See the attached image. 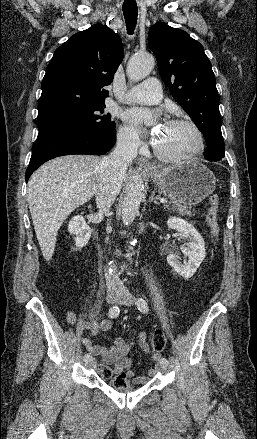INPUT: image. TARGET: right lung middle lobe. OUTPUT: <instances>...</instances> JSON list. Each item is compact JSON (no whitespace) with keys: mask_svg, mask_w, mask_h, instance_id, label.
I'll list each match as a JSON object with an SVG mask.
<instances>
[{"mask_svg":"<svg viewBox=\"0 0 257 439\" xmlns=\"http://www.w3.org/2000/svg\"><path fill=\"white\" fill-rule=\"evenodd\" d=\"M104 107L105 104H100L38 119L37 127L39 130H42L54 125H76L103 134L115 135V122L111 121V115L109 113L106 115L103 114Z\"/></svg>","mask_w":257,"mask_h":439,"instance_id":"obj_1","label":"right lung middle lobe"}]
</instances>
